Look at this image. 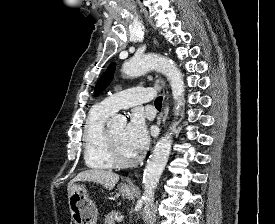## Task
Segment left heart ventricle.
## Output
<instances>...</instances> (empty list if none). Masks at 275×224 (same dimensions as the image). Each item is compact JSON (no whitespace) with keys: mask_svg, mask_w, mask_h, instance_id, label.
<instances>
[{"mask_svg":"<svg viewBox=\"0 0 275 224\" xmlns=\"http://www.w3.org/2000/svg\"><path fill=\"white\" fill-rule=\"evenodd\" d=\"M124 129L123 125H117L109 128V132L120 156L128 159L134 157L136 154L133 153L124 143Z\"/></svg>","mask_w":275,"mask_h":224,"instance_id":"b2bd125f","label":"left heart ventricle"}]
</instances>
